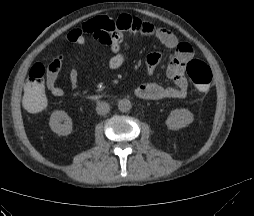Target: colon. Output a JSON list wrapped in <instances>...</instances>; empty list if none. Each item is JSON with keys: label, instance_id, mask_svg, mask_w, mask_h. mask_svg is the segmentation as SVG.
Segmentation results:
<instances>
[{"label": "colon", "instance_id": "5ec220e1", "mask_svg": "<svg viewBox=\"0 0 254 216\" xmlns=\"http://www.w3.org/2000/svg\"><path fill=\"white\" fill-rule=\"evenodd\" d=\"M91 35L103 43L110 40L109 34L106 32L94 31ZM60 64L59 59H53L47 66L37 63L30 69L24 88V103L31 113H42L48 107V96L43 92V78L48 69L58 70ZM187 74L197 90L205 92L209 89L212 71L205 62L199 59H191L187 64Z\"/></svg>", "mask_w": 254, "mask_h": 216}]
</instances>
